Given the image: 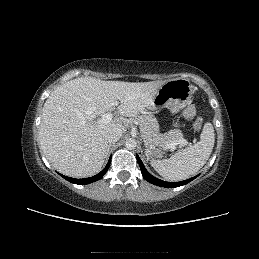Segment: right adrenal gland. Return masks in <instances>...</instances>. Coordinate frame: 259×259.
Here are the masks:
<instances>
[{
  "label": "right adrenal gland",
  "mask_w": 259,
  "mask_h": 259,
  "mask_svg": "<svg viewBox=\"0 0 259 259\" xmlns=\"http://www.w3.org/2000/svg\"><path fill=\"white\" fill-rule=\"evenodd\" d=\"M110 147H111V144L108 145V150H109Z\"/></svg>",
  "instance_id": "obj_1"
}]
</instances>
